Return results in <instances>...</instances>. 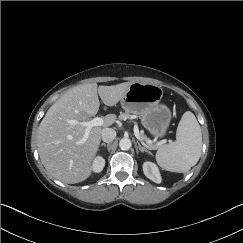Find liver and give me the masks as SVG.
<instances>
[{
  "instance_id": "liver-1",
  "label": "liver",
  "mask_w": 243,
  "mask_h": 243,
  "mask_svg": "<svg viewBox=\"0 0 243 243\" xmlns=\"http://www.w3.org/2000/svg\"><path fill=\"white\" fill-rule=\"evenodd\" d=\"M130 85L131 82L99 87L96 83L78 85L65 92L48 109L38 128L37 147L49 174L68 184L82 182L91 175L102 130L116 121V115H107L103 128L93 127L84 143L81 139L85 127L71 125L68 121L83 122L95 116L100 107L98 95L106 107L116 105Z\"/></svg>"
}]
</instances>
